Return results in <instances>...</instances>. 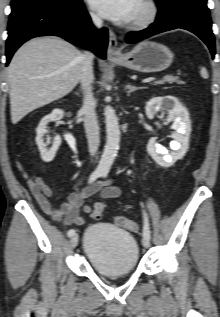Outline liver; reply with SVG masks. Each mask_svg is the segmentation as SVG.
Instances as JSON below:
<instances>
[{"label": "liver", "mask_w": 220, "mask_h": 317, "mask_svg": "<svg viewBox=\"0 0 220 317\" xmlns=\"http://www.w3.org/2000/svg\"><path fill=\"white\" fill-rule=\"evenodd\" d=\"M82 55L57 37H39L22 45L7 69L12 123L69 94L79 82Z\"/></svg>", "instance_id": "liver-1"}]
</instances>
